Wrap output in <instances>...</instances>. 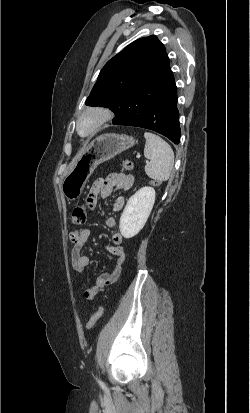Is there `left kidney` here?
<instances>
[{
    "mask_svg": "<svg viewBox=\"0 0 250 413\" xmlns=\"http://www.w3.org/2000/svg\"><path fill=\"white\" fill-rule=\"evenodd\" d=\"M155 203V190L145 186L129 198L121 215L119 228L126 239L137 235L144 227Z\"/></svg>",
    "mask_w": 250,
    "mask_h": 413,
    "instance_id": "obj_1",
    "label": "left kidney"
}]
</instances>
